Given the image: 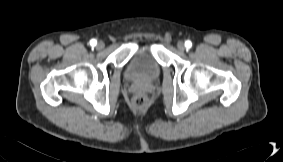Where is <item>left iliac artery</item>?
I'll list each match as a JSON object with an SVG mask.
<instances>
[{"mask_svg":"<svg viewBox=\"0 0 283 162\" xmlns=\"http://www.w3.org/2000/svg\"><path fill=\"white\" fill-rule=\"evenodd\" d=\"M185 46H186L187 48H191L192 42H191L190 40H187V41L185 42Z\"/></svg>","mask_w":283,"mask_h":162,"instance_id":"44dca946","label":"left iliac artery"}]
</instances>
